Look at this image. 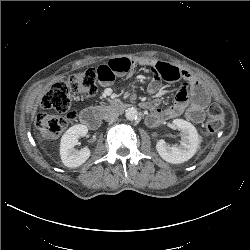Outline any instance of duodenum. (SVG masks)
<instances>
[{"instance_id":"obj_1","label":"duodenum","mask_w":250,"mask_h":250,"mask_svg":"<svg viewBox=\"0 0 250 250\" xmlns=\"http://www.w3.org/2000/svg\"><path fill=\"white\" fill-rule=\"evenodd\" d=\"M128 107L129 105L123 102H113L109 105V109L119 113H124ZM100 116V108H88L81 112L80 119L90 129H97L100 124Z\"/></svg>"}]
</instances>
